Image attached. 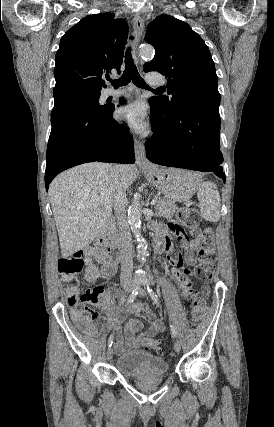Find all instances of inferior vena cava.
<instances>
[{
    "mask_svg": "<svg viewBox=\"0 0 274 427\" xmlns=\"http://www.w3.org/2000/svg\"><path fill=\"white\" fill-rule=\"evenodd\" d=\"M123 166H113L114 172H122ZM126 206H127V198H126V188H124V182H121L120 186H118L115 194H114V202L113 208L115 215L117 217V225L119 227V241L120 247L122 251H128L129 255L127 259H123L122 263L125 265H129L132 267V257H131V249H132V241H131V233L126 217Z\"/></svg>",
    "mask_w": 274,
    "mask_h": 427,
    "instance_id": "1",
    "label": "inferior vena cava"
}]
</instances>
